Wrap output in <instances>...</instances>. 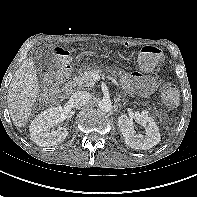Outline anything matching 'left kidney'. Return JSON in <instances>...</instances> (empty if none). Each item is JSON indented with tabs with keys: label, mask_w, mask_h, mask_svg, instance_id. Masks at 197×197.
I'll return each mask as SVG.
<instances>
[{
	"label": "left kidney",
	"mask_w": 197,
	"mask_h": 197,
	"mask_svg": "<svg viewBox=\"0 0 197 197\" xmlns=\"http://www.w3.org/2000/svg\"><path fill=\"white\" fill-rule=\"evenodd\" d=\"M133 118L145 128V135L136 134L133 126ZM118 125L125 143L133 149H150L160 142L161 136L159 129L154 119L148 115V111L136 113L133 117L121 114L118 118Z\"/></svg>",
	"instance_id": "1"
}]
</instances>
